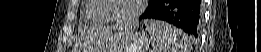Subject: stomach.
Here are the masks:
<instances>
[{"label": "stomach", "instance_id": "1", "mask_svg": "<svg viewBox=\"0 0 261 52\" xmlns=\"http://www.w3.org/2000/svg\"><path fill=\"white\" fill-rule=\"evenodd\" d=\"M149 45L150 42L145 32L131 35L121 33L116 40V46L112 50L115 52H145V48Z\"/></svg>", "mask_w": 261, "mask_h": 52}]
</instances>
